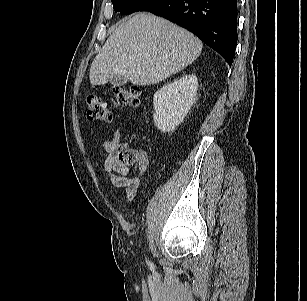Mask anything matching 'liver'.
I'll list each match as a JSON object with an SVG mask.
<instances>
[{
	"mask_svg": "<svg viewBox=\"0 0 307 301\" xmlns=\"http://www.w3.org/2000/svg\"><path fill=\"white\" fill-rule=\"evenodd\" d=\"M191 32L153 14L138 13L121 23L94 58L92 85L120 75L135 85H151L179 72L201 53Z\"/></svg>",
	"mask_w": 307,
	"mask_h": 301,
	"instance_id": "obj_1",
	"label": "liver"
}]
</instances>
